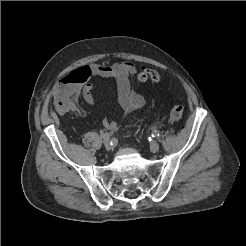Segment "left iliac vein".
<instances>
[{
    "label": "left iliac vein",
    "mask_w": 246,
    "mask_h": 246,
    "mask_svg": "<svg viewBox=\"0 0 246 246\" xmlns=\"http://www.w3.org/2000/svg\"><path fill=\"white\" fill-rule=\"evenodd\" d=\"M159 143L158 142H156V141H154V142H152L151 144H150V150H151V152H153V153H155V152H157L158 150H159Z\"/></svg>",
    "instance_id": "1"
}]
</instances>
